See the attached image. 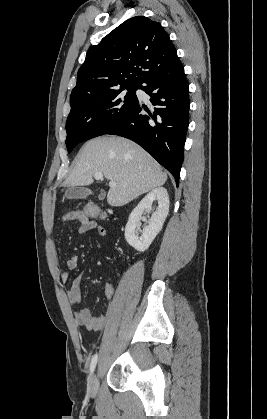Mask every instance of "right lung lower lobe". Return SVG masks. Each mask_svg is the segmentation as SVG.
Returning a JSON list of instances; mask_svg holds the SVG:
<instances>
[{
	"label": "right lung lower lobe",
	"mask_w": 267,
	"mask_h": 419,
	"mask_svg": "<svg viewBox=\"0 0 267 419\" xmlns=\"http://www.w3.org/2000/svg\"><path fill=\"white\" fill-rule=\"evenodd\" d=\"M138 89L151 97L154 107L148 109L137 99L105 134L123 136L139 144L170 171L178 186L190 108L189 85L181 62L149 74Z\"/></svg>",
	"instance_id": "98d812e1"
}]
</instances>
